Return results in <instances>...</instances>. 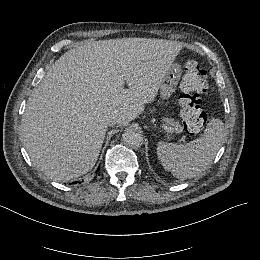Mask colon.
Returning <instances> with one entry per match:
<instances>
[{
	"mask_svg": "<svg viewBox=\"0 0 260 260\" xmlns=\"http://www.w3.org/2000/svg\"><path fill=\"white\" fill-rule=\"evenodd\" d=\"M179 105L184 129L193 132L208 122L203 109L204 95L208 89V72L196 60H188L180 82Z\"/></svg>",
	"mask_w": 260,
	"mask_h": 260,
	"instance_id": "obj_1",
	"label": "colon"
}]
</instances>
